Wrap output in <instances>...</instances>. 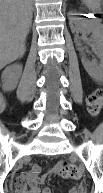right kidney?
Here are the masks:
<instances>
[{
    "mask_svg": "<svg viewBox=\"0 0 103 193\" xmlns=\"http://www.w3.org/2000/svg\"><path fill=\"white\" fill-rule=\"evenodd\" d=\"M22 71L21 65H12L7 67L2 73L3 90L11 91L15 89L19 76Z\"/></svg>",
    "mask_w": 103,
    "mask_h": 193,
    "instance_id": "obj_1",
    "label": "right kidney"
}]
</instances>
